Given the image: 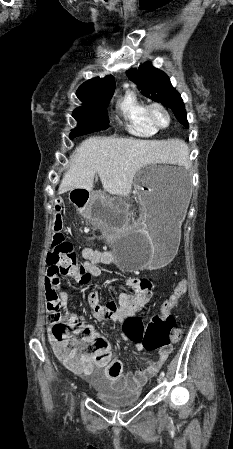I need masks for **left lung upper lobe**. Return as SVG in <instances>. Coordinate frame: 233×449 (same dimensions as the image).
I'll return each mask as SVG.
<instances>
[{"label":"left lung upper lobe","instance_id":"5c2ea615","mask_svg":"<svg viewBox=\"0 0 233 449\" xmlns=\"http://www.w3.org/2000/svg\"><path fill=\"white\" fill-rule=\"evenodd\" d=\"M127 76L147 98L168 106L181 124L188 126L187 114L180 94L172 87L169 77L147 62L138 69H130Z\"/></svg>","mask_w":233,"mask_h":449}]
</instances>
